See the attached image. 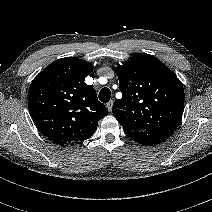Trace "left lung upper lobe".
Instances as JSON below:
<instances>
[{
  "label": "left lung upper lobe",
  "mask_w": 212,
  "mask_h": 212,
  "mask_svg": "<svg viewBox=\"0 0 212 212\" xmlns=\"http://www.w3.org/2000/svg\"><path fill=\"white\" fill-rule=\"evenodd\" d=\"M115 71L123 96L114 102L113 115L126 133L177 128L183 114L184 89L166 65L140 53Z\"/></svg>",
  "instance_id": "obj_1"
}]
</instances>
